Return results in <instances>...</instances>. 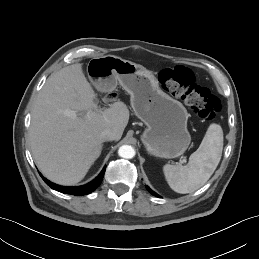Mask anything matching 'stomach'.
<instances>
[{"label":"stomach","mask_w":259,"mask_h":259,"mask_svg":"<svg viewBox=\"0 0 259 259\" xmlns=\"http://www.w3.org/2000/svg\"><path fill=\"white\" fill-rule=\"evenodd\" d=\"M89 79L102 91L117 84L130 94L136 116L147 128L141 140L149 154L160 158L182 155L191 142L187 129L189 114L183 104L163 92L152 71L113 55L92 58Z\"/></svg>","instance_id":"stomach-1"}]
</instances>
